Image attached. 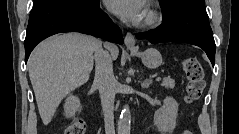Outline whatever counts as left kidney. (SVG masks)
Segmentation results:
<instances>
[{"mask_svg": "<svg viewBox=\"0 0 239 134\" xmlns=\"http://www.w3.org/2000/svg\"><path fill=\"white\" fill-rule=\"evenodd\" d=\"M178 103L172 97H166L163 106L154 114V124L161 134H171L176 127Z\"/></svg>", "mask_w": 239, "mask_h": 134, "instance_id": "5707ae66", "label": "left kidney"}]
</instances>
